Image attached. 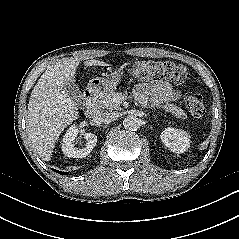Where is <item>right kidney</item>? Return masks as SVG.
<instances>
[{"label": "right kidney", "mask_w": 239, "mask_h": 239, "mask_svg": "<svg viewBox=\"0 0 239 239\" xmlns=\"http://www.w3.org/2000/svg\"><path fill=\"white\" fill-rule=\"evenodd\" d=\"M79 130L76 125H72L65 133L62 139V151L65 156L71 158H84L88 156L97 143V136L93 133H84V138L87 143L82 149L74 146L73 142L77 137Z\"/></svg>", "instance_id": "1"}]
</instances>
